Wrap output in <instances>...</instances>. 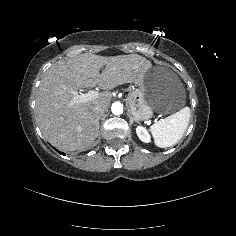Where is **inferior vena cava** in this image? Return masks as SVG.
Wrapping results in <instances>:
<instances>
[{
    "instance_id": "602c4592",
    "label": "inferior vena cava",
    "mask_w": 236,
    "mask_h": 236,
    "mask_svg": "<svg viewBox=\"0 0 236 236\" xmlns=\"http://www.w3.org/2000/svg\"><path fill=\"white\" fill-rule=\"evenodd\" d=\"M93 112L95 114L96 120L98 121L100 116L105 112V109L102 106L97 105V106H94Z\"/></svg>"
}]
</instances>
